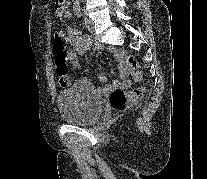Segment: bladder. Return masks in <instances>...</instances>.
<instances>
[{"mask_svg":"<svg viewBox=\"0 0 207 179\" xmlns=\"http://www.w3.org/2000/svg\"><path fill=\"white\" fill-rule=\"evenodd\" d=\"M61 116L70 124L85 125L102 113V99L89 80H79L57 95Z\"/></svg>","mask_w":207,"mask_h":179,"instance_id":"bladder-1","label":"bladder"}]
</instances>
